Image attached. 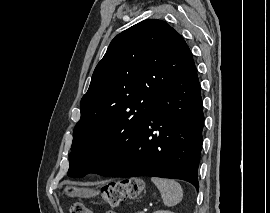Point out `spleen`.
<instances>
[{
	"instance_id": "spleen-1",
	"label": "spleen",
	"mask_w": 270,
	"mask_h": 213,
	"mask_svg": "<svg viewBox=\"0 0 270 213\" xmlns=\"http://www.w3.org/2000/svg\"><path fill=\"white\" fill-rule=\"evenodd\" d=\"M151 181L157 186L166 206H174L182 200V187L175 180L152 177Z\"/></svg>"
}]
</instances>
